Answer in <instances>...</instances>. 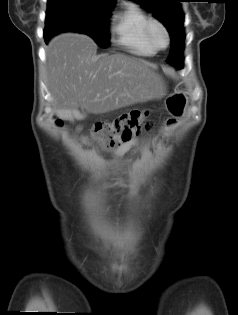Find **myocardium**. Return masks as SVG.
Masks as SVG:
<instances>
[{
	"mask_svg": "<svg viewBox=\"0 0 238 315\" xmlns=\"http://www.w3.org/2000/svg\"><path fill=\"white\" fill-rule=\"evenodd\" d=\"M159 28L164 37H165V42L163 45L158 44L154 38H153V30L154 28ZM145 33H146V37L149 41V43L156 49V50H162L165 49L169 46L170 44V34L169 31L166 27V25L157 18H150L149 21L146 24V28H145Z\"/></svg>",
	"mask_w": 238,
	"mask_h": 315,
	"instance_id": "myocardium-1",
	"label": "myocardium"
}]
</instances>
